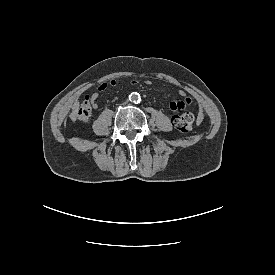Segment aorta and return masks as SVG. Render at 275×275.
<instances>
[{
    "instance_id": "762f6f07",
    "label": "aorta",
    "mask_w": 275,
    "mask_h": 275,
    "mask_svg": "<svg viewBox=\"0 0 275 275\" xmlns=\"http://www.w3.org/2000/svg\"><path fill=\"white\" fill-rule=\"evenodd\" d=\"M130 99L134 102V103H139L141 101V97L138 93H132L130 95Z\"/></svg>"
}]
</instances>
